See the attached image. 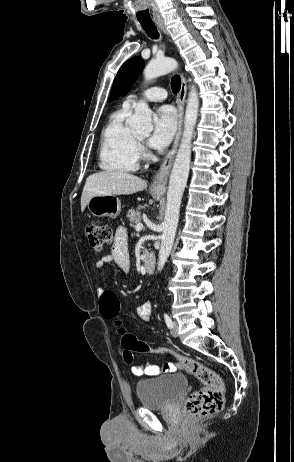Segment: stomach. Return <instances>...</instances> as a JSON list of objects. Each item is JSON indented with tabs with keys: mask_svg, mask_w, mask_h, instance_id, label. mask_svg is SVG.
<instances>
[{
	"mask_svg": "<svg viewBox=\"0 0 294 462\" xmlns=\"http://www.w3.org/2000/svg\"><path fill=\"white\" fill-rule=\"evenodd\" d=\"M151 195L156 200L161 197L160 193L153 191H151ZM87 208L93 216H108L115 219L120 214L121 204L115 195H95L89 200Z\"/></svg>",
	"mask_w": 294,
	"mask_h": 462,
	"instance_id": "1",
	"label": "stomach"
}]
</instances>
